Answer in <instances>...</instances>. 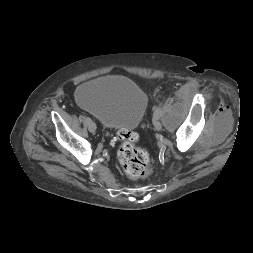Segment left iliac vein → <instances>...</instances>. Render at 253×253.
<instances>
[{"label": "left iliac vein", "mask_w": 253, "mask_h": 253, "mask_svg": "<svg viewBox=\"0 0 253 253\" xmlns=\"http://www.w3.org/2000/svg\"><path fill=\"white\" fill-rule=\"evenodd\" d=\"M154 126L157 131H160L162 128V123L157 119V117L154 119Z\"/></svg>", "instance_id": "4c4485c4"}]
</instances>
